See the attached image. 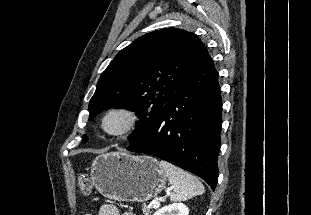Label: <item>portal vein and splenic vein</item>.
Returning a JSON list of instances; mask_svg holds the SVG:
<instances>
[{
	"label": "portal vein and splenic vein",
	"mask_w": 311,
	"mask_h": 215,
	"mask_svg": "<svg viewBox=\"0 0 311 215\" xmlns=\"http://www.w3.org/2000/svg\"><path fill=\"white\" fill-rule=\"evenodd\" d=\"M169 191L167 193H169ZM159 207H160V201H156L153 205V208H159Z\"/></svg>",
	"instance_id": "portal-vein-and-splenic-vein-1"
}]
</instances>
